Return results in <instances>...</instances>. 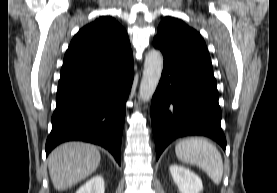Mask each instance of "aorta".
<instances>
[{"label": "aorta", "mask_w": 277, "mask_h": 193, "mask_svg": "<svg viewBox=\"0 0 277 193\" xmlns=\"http://www.w3.org/2000/svg\"><path fill=\"white\" fill-rule=\"evenodd\" d=\"M162 67V54L155 49L150 50L145 57L143 77L139 89V100L148 102L151 99L158 86Z\"/></svg>", "instance_id": "762f6f07"}]
</instances>
